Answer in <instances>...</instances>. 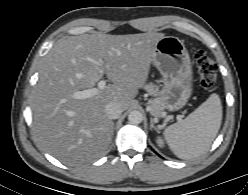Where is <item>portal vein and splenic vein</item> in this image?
Here are the masks:
<instances>
[{
	"label": "portal vein and splenic vein",
	"mask_w": 248,
	"mask_h": 195,
	"mask_svg": "<svg viewBox=\"0 0 248 195\" xmlns=\"http://www.w3.org/2000/svg\"><path fill=\"white\" fill-rule=\"evenodd\" d=\"M105 86H106V81L101 80L100 82H98V88H91V89L77 92L74 94V98H77V99L90 98V97L96 95L99 92V90L104 89Z\"/></svg>",
	"instance_id": "18ae733b"
}]
</instances>
